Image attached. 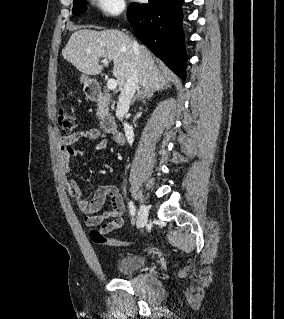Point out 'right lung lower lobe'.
Masks as SVG:
<instances>
[{"label":"right lung lower lobe","instance_id":"98d812e1","mask_svg":"<svg viewBox=\"0 0 284 319\" xmlns=\"http://www.w3.org/2000/svg\"><path fill=\"white\" fill-rule=\"evenodd\" d=\"M183 0H149L133 3L128 20L136 36L182 79L186 75L184 35L181 27Z\"/></svg>","mask_w":284,"mask_h":319}]
</instances>
